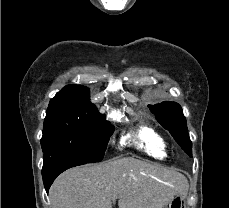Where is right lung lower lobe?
Returning a JSON list of instances; mask_svg holds the SVG:
<instances>
[{
	"mask_svg": "<svg viewBox=\"0 0 229 208\" xmlns=\"http://www.w3.org/2000/svg\"><path fill=\"white\" fill-rule=\"evenodd\" d=\"M83 164H86V162L71 161V160L62 161V162L57 163L53 167H50L49 169L42 171L43 183H44L46 192L48 193V190H49L51 184L53 183L55 178L60 173H62L63 171H65L71 167H75V166H79V165H83Z\"/></svg>",
	"mask_w": 229,
	"mask_h": 208,
	"instance_id": "right-lung-lower-lobe-1",
	"label": "right lung lower lobe"
}]
</instances>
